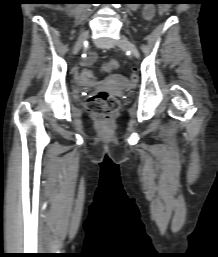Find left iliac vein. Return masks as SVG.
<instances>
[{
  "mask_svg": "<svg viewBox=\"0 0 218 257\" xmlns=\"http://www.w3.org/2000/svg\"><path fill=\"white\" fill-rule=\"evenodd\" d=\"M117 46L122 49L130 51L136 58L140 57V53L137 47L124 36L120 38V40L117 43Z\"/></svg>",
  "mask_w": 218,
  "mask_h": 257,
  "instance_id": "left-iliac-vein-1",
  "label": "left iliac vein"
}]
</instances>
